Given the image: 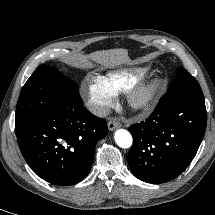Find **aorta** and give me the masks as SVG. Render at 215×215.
<instances>
[{
  "mask_svg": "<svg viewBox=\"0 0 215 215\" xmlns=\"http://www.w3.org/2000/svg\"><path fill=\"white\" fill-rule=\"evenodd\" d=\"M114 138L117 145L121 148H129L132 145V136L127 130H117Z\"/></svg>",
  "mask_w": 215,
  "mask_h": 215,
  "instance_id": "obj_1",
  "label": "aorta"
}]
</instances>
